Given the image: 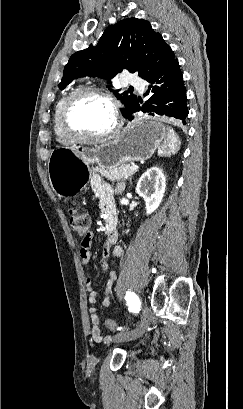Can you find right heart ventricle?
Returning a JSON list of instances; mask_svg holds the SVG:
<instances>
[{
  "label": "right heart ventricle",
  "instance_id": "1",
  "mask_svg": "<svg viewBox=\"0 0 243 409\" xmlns=\"http://www.w3.org/2000/svg\"><path fill=\"white\" fill-rule=\"evenodd\" d=\"M78 87L72 88L69 91H67L65 94H63L58 101L55 104L54 107V112H53V128H54V132L56 135V138L58 140L59 143L63 144V145H70L72 143H74V140L71 139L62 129L61 126V121H60V115H61V110H62V106L65 102V100L67 99V97L72 94L74 91L78 90Z\"/></svg>",
  "mask_w": 243,
  "mask_h": 409
}]
</instances>
